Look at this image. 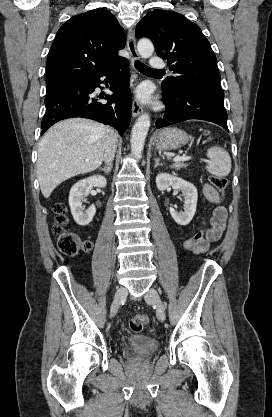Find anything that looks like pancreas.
Returning <instances> with one entry per match:
<instances>
[{"instance_id":"cf45deb5","label":"pancreas","mask_w":272,"mask_h":417,"mask_svg":"<svg viewBox=\"0 0 272 417\" xmlns=\"http://www.w3.org/2000/svg\"><path fill=\"white\" fill-rule=\"evenodd\" d=\"M172 167L173 168H175L176 170H179L180 168H182V167H186V165L184 164V163H182V162H175L173 165H172Z\"/></svg>"}]
</instances>
